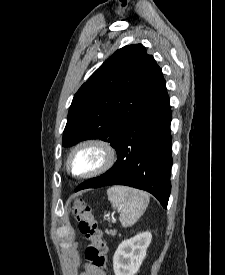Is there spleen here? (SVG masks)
Returning <instances> with one entry per match:
<instances>
[{
  "label": "spleen",
  "mask_w": 225,
  "mask_h": 275,
  "mask_svg": "<svg viewBox=\"0 0 225 275\" xmlns=\"http://www.w3.org/2000/svg\"><path fill=\"white\" fill-rule=\"evenodd\" d=\"M107 196L113 209L120 211L119 220L123 228L134 225L149 204V196L146 192L126 186L109 188Z\"/></svg>",
  "instance_id": "spleen-1"
}]
</instances>
